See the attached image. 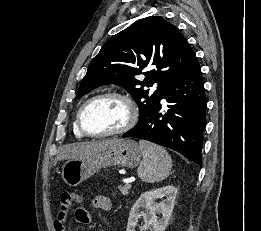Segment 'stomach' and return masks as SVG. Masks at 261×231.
Wrapping results in <instances>:
<instances>
[{"label": "stomach", "mask_w": 261, "mask_h": 231, "mask_svg": "<svg viewBox=\"0 0 261 231\" xmlns=\"http://www.w3.org/2000/svg\"><path fill=\"white\" fill-rule=\"evenodd\" d=\"M142 151L134 140H120L106 150L83 159H69L62 166L61 176L71 187L79 185L94 173L109 166L136 167Z\"/></svg>", "instance_id": "obj_1"}]
</instances>
